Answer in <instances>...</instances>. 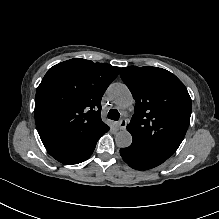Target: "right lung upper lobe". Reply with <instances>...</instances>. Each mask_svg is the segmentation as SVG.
Masks as SVG:
<instances>
[{
	"label": "right lung upper lobe",
	"mask_w": 219,
	"mask_h": 219,
	"mask_svg": "<svg viewBox=\"0 0 219 219\" xmlns=\"http://www.w3.org/2000/svg\"><path fill=\"white\" fill-rule=\"evenodd\" d=\"M119 67L75 58L46 73L37 88L35 122L44 145L89 142L107 125L101 99Z\"/></svg>",
	"instance_id": "1"
}]
</instances>
